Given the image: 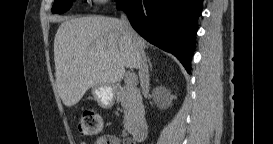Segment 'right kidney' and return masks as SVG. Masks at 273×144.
Listing matches in <instances>:
<instances>
[{
  "mask_svg": "<svg viewBox=\"0 0 273 144\" xmlns=\"http://www.w3.org/2000/svg\"><path fill=\"white\" fill-rule=\"evenodd\" d=\"M158 91L163 93V94H166V96H168V97L170 96V93L165 88L160 87L158 89Z\"/></svg>",
  "mask_w": 273,
  "mask_h": 144,
  "instance_id": "right-kidney-1",
  "label": "right kidney"
}]
</instances>
